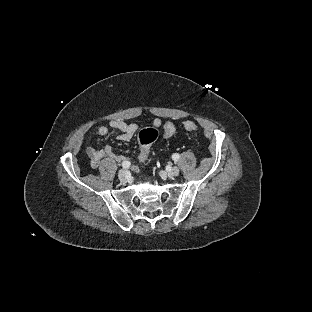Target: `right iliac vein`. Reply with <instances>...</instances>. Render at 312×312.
<instances>
[{
  "mask_svg": "<svg viewBox=\"0 0 312 312\" xmlns=\"http://www.w3.org/2000/svg\"><path fill=\"white\" fill-rule=\"evenodd\" d=\"M118 178L120 181H123V182L129 181V175L124 169L118 172Z\"/></svg>",
  "mask_w": 312,
  "mask_h": 312,
  "instance_id": "obj_1",
  "label": "right iliac vein"
}]
</instances>
